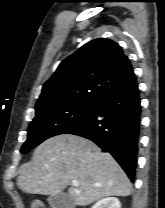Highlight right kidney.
<instances>
[{
    "mask_svg": "<svg viewBox=\"0 0 165 208\" xmlns=\"http://www.w3.org/2000/svg\"><path fill=\"white\" fill-rule=\"evenodd\" d=\"M92 208H121V204L117 198L107 197L98 201Z\"/></svg>",
    "mask_w": 165,
    "mask_h": 208,
    "instance_id": "ca27d5eb",
    "label": "right kidney"
}]
</instances>
